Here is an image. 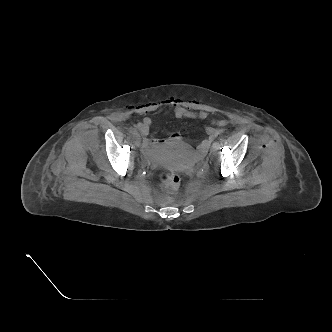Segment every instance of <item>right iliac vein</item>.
<instances>
[{"instance_id": "63e3f726", "label": "right iliac vein", "mask_w": 332, "mask_h": 332, "mask_svg": "<svg viewBox=\"0 0 332 332\" xmlns=\"http://www.w3.org/2000/svg\"><path fill=\"white\" fill-rule=\"evenodd\" d=\"M134 139H135V144L137 146H140V144H141V138H140V135L138 133L134 134Z\"/></svg>"}]
</instances>
